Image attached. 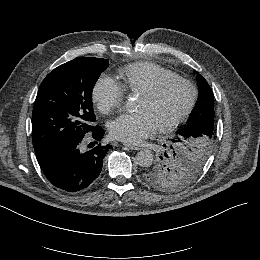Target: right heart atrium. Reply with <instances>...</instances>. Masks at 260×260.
<instances>
[{
    "mask_svg": "<svg viewBox=\"0 0 260 260\" xmlns=\"http://www.w3.org/2000/svg\"><path fill=\"white\" fill-rule=\"evenodd\" d=\"M125 96L126 89L124 86L109 74H102L95 82L92 90V99L104 114L121 107Z\"/></svg>",
    "mask_w": 260,
    "mask_h": 260,
    "instance_id": "obj_1",
    "label": "right heart atrium"
}]
</instances>
